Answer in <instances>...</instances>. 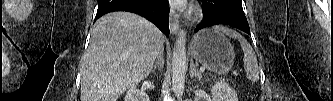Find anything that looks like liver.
I'll list each match as a JSON object with an SVG mask.
<instances>
[{"mask_svg":"<svg viewBox=\"0 0 333 101\" xmlns=\"http://www.w3.org/2000/svg\"><path fill=\"white\" fill-rule=\"evenodd\" d=\"M164 36L151 22L127 12L101 17L81 64V101H117L146 78Z\"/></svg>","mask_w":333,"mask_h":101,"instance_id":"1","label":"liver"}]
</instances>
